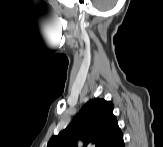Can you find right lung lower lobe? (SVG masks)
<instances>
[{"mask_svg":"<svg viewBox=\"0 0 163 147\" xmlns=\"http://www.w3.org/2000/svg\"><path fill=\"white\" fill-rule=\"evenodd\" d=\"M111 147H124L123 135Z\"/></svg>","mask_w":163,"mask_h":147,"instance_id":"1","label":"right lung lower lobe"}]
</instances>
